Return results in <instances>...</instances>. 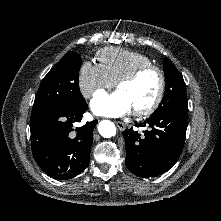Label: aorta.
I'll return each mask as SVG.
<instances>
[{
	"label": "aorta",
	"instance_id": "aorta-1",
	"mask_svg": "<svg viewBox=\"0 0 221 221\" xmlns=\"http://www.w3.org/2000/svg\"><path fill=\"white\" fill-rule=\"evenodd\" d=\"M98 131L104 138H110L116 134V127L113 122L103 120L98 125Z\"/></svg>",
	"mask_w": 221,
	"mask_h": 221
}]
</instances>
